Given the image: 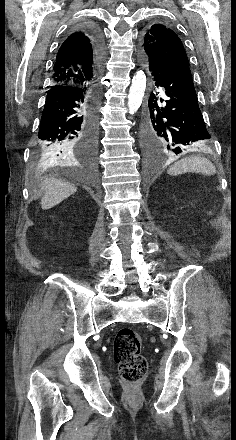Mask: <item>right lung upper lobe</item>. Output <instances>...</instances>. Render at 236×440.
I'll return each instance as SVG.
<instances>
[{
    "label": "right lung upper lobe",
    "instance_id": "cb5924a9",
    "mask_svg": "<svg viewBox=\"0 0 236 440\" xmlns=\"http://www.w3.org/2000/svg\"><path fill=\"white\" fill-rule=\"evenodd\" d=\"M97 78L95 57L86 31H74L58 50L51 88L66 85L87 86Z\"/></svg>",
    "mask_w": 236,
    "mask_h": 440
}]
</instances>
